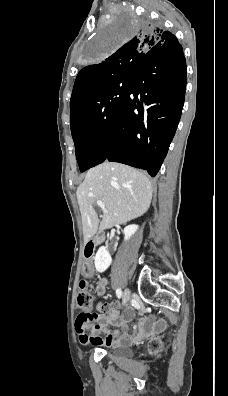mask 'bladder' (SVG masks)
<instances>
[{
    "instance_id": "bladder-1",
    "label": "bladder",
    "mask_w": 228,
    "mask_h": 396,
    "mask_svg": "<svg viewBox=\"0 0 228 396\" xmlns=\"http://www.w3.org/2000/svg\"><path fill=\"white\" fill-rule=\"evenodd\" d=\"M110 354L121 359H129L133 356V350L127 346H118L110 350Z\"/></svg>"
}]
</instances>
